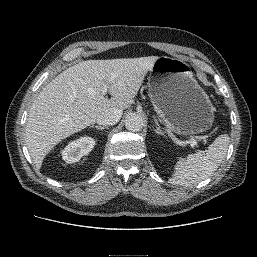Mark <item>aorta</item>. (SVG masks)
<instances>
[{"instance_id":"obj_1","label":"aorta","mask_w":257,"mask_h":257,"mask_svg":"<svg viewBox=\"0 0 257 257\" xmlns=\"http://www.w3.org/2000/svg\"><path fill=\"white\" fill-rule=\"evenodd\" d=\"M143 126H144V120L140 114L136 112H132L126 116L125 127L127 130L131 132H138L142 130Z\"/></svg>"}]
</instances>
